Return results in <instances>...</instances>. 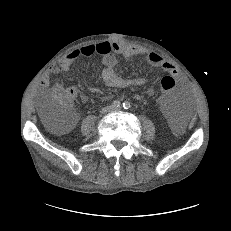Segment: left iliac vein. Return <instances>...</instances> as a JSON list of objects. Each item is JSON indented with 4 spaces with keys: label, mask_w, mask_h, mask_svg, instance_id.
<instances>
[{
    "label": "left iliac vein",
    "mask_w": 231,
    "mask_h": 231,
    "mask_svg": "<svg viewBox=\"0 0 231 231\" xmlns=\"http://www.w3.org/2000/svg\"><path fill=\"white\" fill-rule=\"evenodd\" d=\"M112 110H113V111H119L120 108H119V107H113Z\"/></svg>",
    "instance_id": "obj_1"
}]
</instances>
